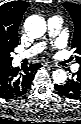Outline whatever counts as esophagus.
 <instances>
[{"label":"esophagus","mask_w":81,"mask_h":124,"mask_svg":"<svg viewBox=\"0 0 81 124\" xmlns=\"http://www.w3.org/2000/svg\"><path fill=\"white\" fill-rule=\"evenodd\" d=\"M44 66L45 67H57V65H55V64H52V63H50V62H46V63H44Z\"/></svg>","instance_id":"obj_1"}]
</instances>
